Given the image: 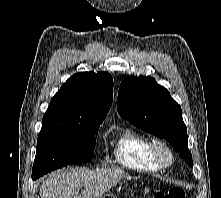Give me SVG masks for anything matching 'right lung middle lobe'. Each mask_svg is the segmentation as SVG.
<instances>
[{
    "label": "right lung middle lobe",
    "instance_id": "obj_1",
    "mask_svg": "<svg viewBox=\"0 0 221 198\" xmlns=\"http://www.w3.org/2000/svg\"><path fill=\"white\" fill-rule=\"evenodd\" d=\"M98 129L99 126L84 132L41 130L37 140L32 179L63 166L91 161Z\"/></svg>",
    "mask_w": 221,
    "mask_h": 198
}]
</instances>
